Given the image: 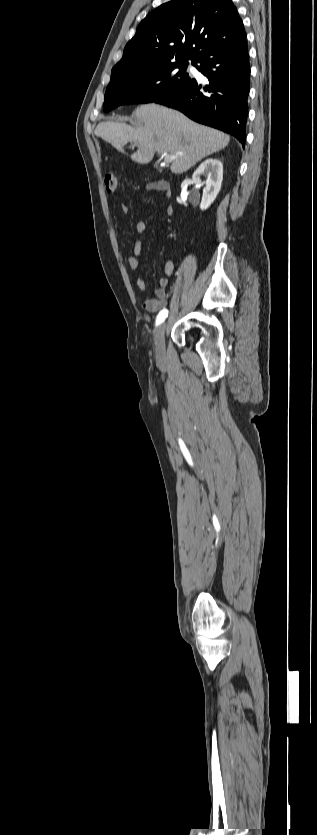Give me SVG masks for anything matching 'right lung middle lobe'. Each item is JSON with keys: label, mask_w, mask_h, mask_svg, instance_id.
<instances>
[{"label": "right lung middle lobe", "mask_w": 317, "mask_h": 835, "mask_svg": "<svg viewBox=\"0 0 317 835\" xmlns=\"http://www.w3.org/2000/svg\"><path fill=\"white\" fill-rule=\"evenodd\" d=\"M195 65V62H192ZM188 62L157 65L140 71L113 72L107 86L103 108L108 112L119 105L154 102L170 91L189 83Z\"/></svg>", "instance_id": "dd1d6c3e"}]
</instances>
